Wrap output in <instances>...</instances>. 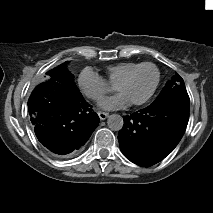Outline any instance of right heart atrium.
I'll use <instances>...</instances> for the list:
<instances>
[{
	"mask_svg": "<svg viewBox=\"0 0 213 213\" xmlns=\"http://www.w3.org/2000/svg\"><path fill=\"white\" fill-rule=\"evenodd\" d=\"M78 85L86 97L98 102L111 91V87L103 77L89 68H85L80 73Z\"/></svg>",
	"mask_w": 213,
	"mask_h": 213,
	"instance_id": "d8ad5b80",
	"label": "right heart atrium"
}]
</instances>
